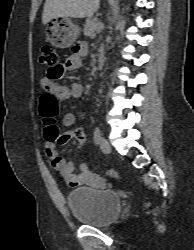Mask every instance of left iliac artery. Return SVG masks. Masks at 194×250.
I'll return each mask as SVG.
<instances>
[{"mask_svg": "<svg viewBox=\"0 0 194 250\" xmlns=\"http://www.w3.org/2000/svg\"><path fill=\"white\" fill-rule=\"evenodd\" d=\"M100 137H101V131H100V128L97 126L94 129V143L95 144L99 143Z\"/></svg>", "mask_w": 194, "mask_h": 250, "instance_id": "44dca946", "label": "left iliac artery"}]
</instances>
